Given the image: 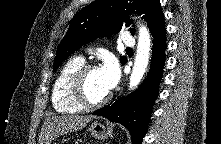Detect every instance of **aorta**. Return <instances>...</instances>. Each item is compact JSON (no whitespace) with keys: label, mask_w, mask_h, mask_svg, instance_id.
<instances>
[{"label":"aorta","mask_w":221,"mask_h":144,"mask_svg":"<svg viewBox=\"0 0 221 144\" xmlns=\"http://www.w3.org/2000/svg\"><path fill=\"white\" fill-rule=\"evenodd\" d=\"M151 40L146 26H139L138 45L134 66L130 76L129 88H136L141 82L150 59Z\"/></svg>","instance_id":"aorta-1"}]
</instances>
